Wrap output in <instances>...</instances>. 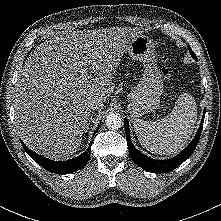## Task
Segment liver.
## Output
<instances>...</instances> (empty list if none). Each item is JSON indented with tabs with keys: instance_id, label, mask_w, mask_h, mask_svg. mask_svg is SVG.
I'll return each mask as SVG.
<instances>
[{
	"instance_id": "6515ba94",
	"label": "liver",
	"mask_w": 221,
	"mask_h": 221,
	"mask_svg": "<svg viewBox=\"0 0 221 221\" xmlns=\"http://www.w3.org/2000/svg\"><path fill=\"white\" fill-rule=\"evenodd\" d=\"M140 33L130 27L73 31L37 46L15 87V126L23 142L54 160L76 153L90 120L87 102L107 101L120 58ZM84 67L93 78H81Z\"/></svg>"
}]
</instances>
